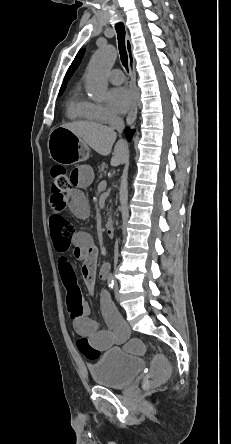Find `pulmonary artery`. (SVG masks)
<instances>
[{
	"label": "pulmonary artery",
	"instance_id": "obj_1",
	"mask_svg": "<svg viewBox=\"0 0 231 444\" xmlns=\"http://www.w3.org/2000/svg\"><path fill=\"white\" fill-rule=\"evenodd\" d=\"M125 79L123 72L120 69H113L109 73V80L113 84H121Z\"/></svg>",
	"mask_w": 231,
	"mask_h": 444
}]
</instances>
